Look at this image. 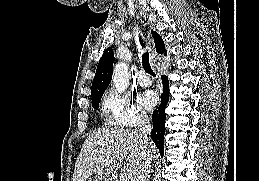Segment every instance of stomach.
Returning <instances> with one entry per match:
<instances>
[{"label":"stomach","instance_id":"stomach-1","mask_svg":"<svg viewBox=\"0 0 259 181\" xmlns=\"http://www.w3.org/2000/svg\"><path fill=\"white\" fill-rule=\"evenodd\" d=\"M94 181H110L109 178L105 177V176H100V175H97L94 179Z\"/></svg>","mask_w":259,"mask_h":181}]
</instances>
